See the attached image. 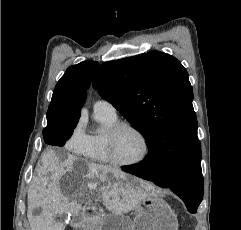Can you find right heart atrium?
I'll return each mask as SVG.
<instances>
[{"mask_svg": "<svg viewBox=\"0 0 241 230\" xmlns=\"http://www.w3.org/2000/svg\"><path fill=\"white\" fill-rule=\"evenodd\" d=\"M87 143L88 134L83 129L82 124H78L67 139L65 146L71 152L82 154L87 147Z\"/></svg>", "mask_w": 241, "mask_h": 230, "instance_id": "d8ad5b80", "label": "right heart atrium"}]
</instances>
